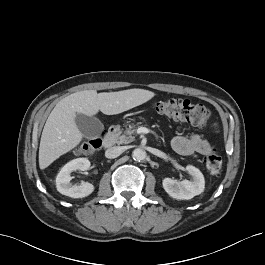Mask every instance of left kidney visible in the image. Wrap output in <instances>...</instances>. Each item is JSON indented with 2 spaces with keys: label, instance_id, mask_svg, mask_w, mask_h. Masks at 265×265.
Instances as JSON below:
<instances>
[{
  "label": "left kidney",
  "instance_id": "obj_1",
  "mask_svg": "<svg viewBox=\"0 0 265 265\" xmlns=\"http://www.w3.org/2000/svg\"><path fill=\"white\" fill-rule=\"evenodd\" d=\"M186 170L192 176L191 181L182 180L177 182L171 178L163 180V188L172 198L189 200L204 191L205 180L201 171L192 165H187Z\"/></svg>",
  "mask_w": 265,
  "mask_h": 265
}]
</instances>
